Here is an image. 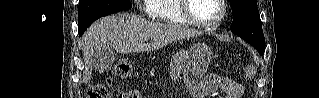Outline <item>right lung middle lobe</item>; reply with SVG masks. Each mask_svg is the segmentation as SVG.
I'll list each match as a JSON object with an SVG mask.
<instances>
[{"instance_id":"obj_1","label":"right lung middle lobe","mask_w":319,"mask_h":98,"mask_svg":"<svg viewBox=\"0 0 319 98\" xmlns=\"http://www.w3.org/2000/svg\"><path fill=\"white\" fill-rule=\"evenodd\" d=\"M132 7L129 0H80L78 24L86 20L110 15Z\"/></svg>"}]
</instances>
